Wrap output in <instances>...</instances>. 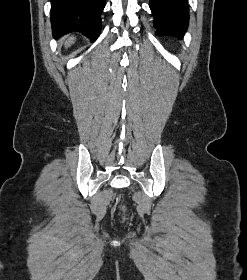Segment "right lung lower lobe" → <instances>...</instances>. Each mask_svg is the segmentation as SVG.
<instances>
[{"instance_id": "obj_1", "label": "right lung lower lobe", "mask_w": 247, "mask_h": 280, "mask_svg": "<svg viewBox=\"0 0 247 280\" xmlns=\"http://www.w3.org/2000/svg\"><path fill=\"white\" fill-rule=\"evenodd\" d=\"M52 31L58 36L80 32L95 41L100 35L105 0H50Z\"/></svg>"}]
</instances>
